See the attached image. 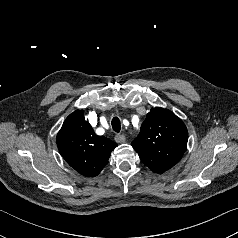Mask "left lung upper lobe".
I'll return each instance as SVG.
<instances>
[{"instance_id":"5c2ea615","label":"left lung upper lobe","mask_w":238,"mask_h":238,"mask_svg":"<svg viewBox=\"0 0 238 238\" xmlns=\"http://www.w3.org/2000/svg\"><path fill=\"white\" fill-rule=\"evenodd\" d=\"M188 141L183 121L173 112L152 108L143 122L132 147L153 172L163 173L182 158Z\"/></svg>"}]
</instances>
